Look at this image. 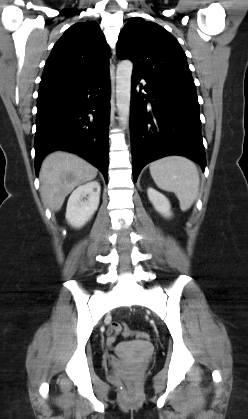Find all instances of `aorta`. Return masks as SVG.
<instances>
[{"label": "aorta", "mask_w": 248, "mask_h": 419, "mask_svg": "<svg viewBox=\"0 0 248 419\" xmlns=\"http://www.w3.org/2000/svg\"><path fill=\"white\" fill-rule=\"evenodd\" d=\"M132 71L133 63L130 60H123L117 65L116 106L123 127H126L130 115Z\"/></svg>", "instance_id": "obj_1"}]
</instances>
